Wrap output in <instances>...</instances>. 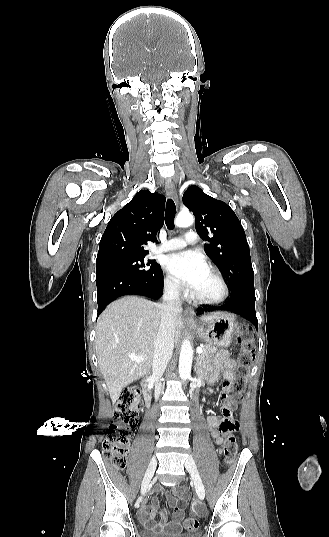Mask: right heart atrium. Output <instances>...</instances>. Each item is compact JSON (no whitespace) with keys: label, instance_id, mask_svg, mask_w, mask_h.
I'll list each match as a JSON object with an SVG mask.
<instances>
[{"label":"right heart atrium","instance_id":"obj_1","mask_svg":"<svg viewBox=\"0 0 329 537\" xmlns=\"http://www.w3.org/2000/svg\"><path fill=\"white\" fill-rule=\"evenodd\" d=\"M164 287H165V290L166 292L174 297V298H178L180 297L181 293H182V287L180 286V284L174 279L172 278L171 276H166L165 279H164Z\"/></svg>","mask_w":329,"mask_h":537}]
</instances>
